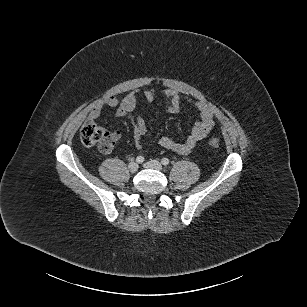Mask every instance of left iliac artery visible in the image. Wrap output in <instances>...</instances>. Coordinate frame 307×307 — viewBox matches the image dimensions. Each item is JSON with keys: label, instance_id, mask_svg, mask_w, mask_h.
Returning a JSON list of instances; mask_svg holds the SVG:
<instances>
[{"label": "left iliac artery", "instance_id": "obj_1", "mask_svg": "<svg viewBox=\"0 0 307 307\" xmlns=\"http://www.w3.org/2000/svg\"><path fill=\"white\" fill-rule=\"evenodd\" d=\"M161 163L164 165V166H167L169 164V159L168 158H163L161 160Z\"/></svg>", "mask_w": 307, "mask_h": 307}]
</instances>
